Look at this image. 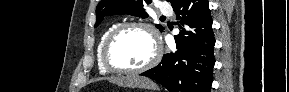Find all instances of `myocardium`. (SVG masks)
Wrapping results in <instances>:
<instances>
[{
	"label": "myocardium",
	"mask_w": 289,
	"mask_h": 92,
	"mask_svg": "<svg viewBox=\"0 0 289 92\" xmlns=\"http://www.w3.org/2000/svg\"><path fill=\"white\" fill-rule=\"evenodd\" d=\"M129 28H142L146 30L151 36L154 44V53L151 59L144 65L137 68H125L117 66L112 62L110 57L111 48L115 40L119 37L120 34H122L125 30ZM161 55H162V45L157 35V32L155 31V29L151 24L144 21H128L119 24L110 32L102 48V62L104 67L110 72L119 74H138L147 71L152 67H154L159 62Z\"/></svg>",
	"instance_id": "f54148a6"
}]
</instances>
